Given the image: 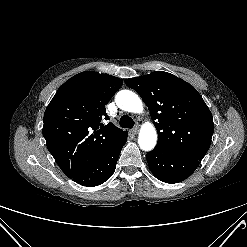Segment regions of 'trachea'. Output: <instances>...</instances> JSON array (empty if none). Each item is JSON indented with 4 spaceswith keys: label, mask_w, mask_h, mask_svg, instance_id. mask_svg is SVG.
Segmentation results:
<instances>
[{
    "label": "trachea",
    "mask_w": 247,
    "mask_h": 247,
    "mask_svg": "<svg viewBox=\"0 0 247 247\" xmlns=\"http://www.w3.org/2000/svg\"><path fill=\"white\" fill-rule=\"evenodd\" d=\"M119 124L122 128H132L134 126V121L131 117L124 115L120 118Z\"/></svg>",
    "instance_id": "3493384b"
}]
</instances>
